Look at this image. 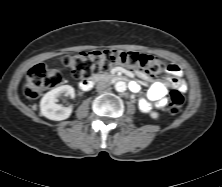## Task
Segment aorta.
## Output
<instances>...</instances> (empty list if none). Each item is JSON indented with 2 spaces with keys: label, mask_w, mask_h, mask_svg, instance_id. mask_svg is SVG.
Returning a JSON list of instances; mask_svg holds the SVG:
<instances>
[{
  "label": "aorta",
  "mask_w": 222,
  "mask_h": 187,
  "mask_svg": "<svg viewBox=\"0 0 222 187\" xmlns=\"http://www.w3.org/2000/svg\"><path fill=\"white\" fill-rule=\"evenodd\" d=\"M127 88V85L123 81H118L115 83V90L118 92H124Z\"/></svg>",
  "instance_id": "762f6f07"
}]
</instances>
